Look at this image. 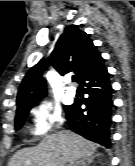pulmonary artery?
I'll return each mask as SVG.
<instances>
[{"instance_id": "1", "label": "pulmonary artery", "mask_w": 135, "mask_h": 166, "mask_svg": "<svg viewBox=\"0 0 135 166\" xmlns=\"http://www.w3.org/2000/svg\"><path fill=\"white\" fill-rule=\"evenodd\" d=\"M67 94L70 97H74L76 95V89H75V87H69L68 90H67Z\"/></svg>"}]
</instances>
